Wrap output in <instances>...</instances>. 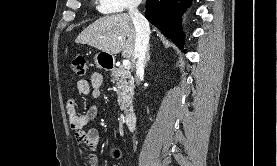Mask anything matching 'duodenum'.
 Returning a JSON list of instances; mask_svg holds the SVG:
<instances>
[{"mask_svg": "<svg viewBox=\"0 0 277 166\" xmlns=\"http://www.w3.org/2000/svg\"><path fill=\"white\" fill-rule=\"evenodd\" d=\"M136 124V115L133 110H127L124 114V125L128 130H133Z\"/></svg>", "mask_w": 277, "mask_h": 166, "instance_id": "duodenum-1", "label": "duodenum"}]
</instances>
